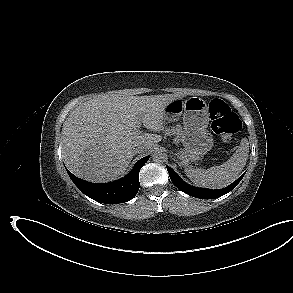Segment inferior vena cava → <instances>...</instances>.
<instances>
[{"label": "inferior vena cava", "instance_id": "inferior-vena-cava-1", "mask_svg": "<svg viewBox=\"0 0 293 293\" xmlns=\"http://www.w3.org/2000/svg\"><path fill=\"white\" fill-rule=\"evenodd\" d=\"M143 150H144V147L139 145L134 148V153L135 154L141 153Z\"/></svg>", "mask_w": 293, "mask_h": 293}]
</instances>
